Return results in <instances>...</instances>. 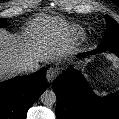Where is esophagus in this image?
<instances>
[{
	"label": "esophagus",
	"mask_w": 119,
	"mask_h": 119,
	"mask_svg": "<svg viewBox=\"0 0 119 119\" xmlns=\"http://www.w3.org/2000/svg\"><path fill=\"white\" fill-rule=\"evenodd\" d=\"M59 72L58 69L55 67H50L47 71L46 78L48 83H52L56 77L58 76Z\"/></svg>",
	"instance_id": "obj_1"
}]
</instances>
